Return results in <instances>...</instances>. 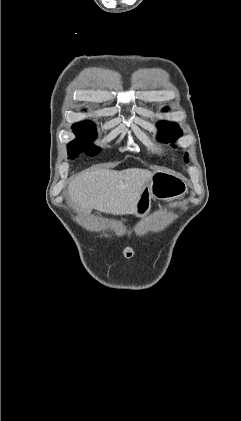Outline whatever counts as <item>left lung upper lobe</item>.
<instances>
[{"mask_svg":"<svg viewBox=\"0 0 241 421\" xmlns=\"http://www.w3.org/2000/svg\"><path fill=\"white\" fill-rule=\"evenodd\" d=\"M158 128V140L164 143L172 142L182 135V130L177 123L160 122ZM185 161H188L187 154L185 155Z\"/></svg>","mask_w":241,"mask_h":421,"instance_id":"1","label":"left lung upper lobe"}]
</instances>
